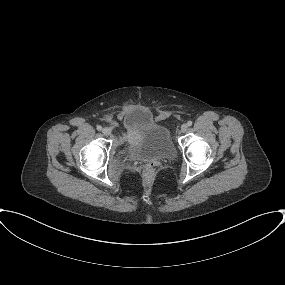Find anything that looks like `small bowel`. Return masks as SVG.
I'll list each match as a JSON object with an SVG mask.
<instances>
[{
	"mask_svg": "<svg viewBox=\"0 0 285 285\" xmlns=\"http://www.w3.org/2000/svg\"><path fill=\"white\" fill-rule=\"evenodd\" d=\"M129 110H130L129 107L124 108V109L120 112L119 117H120V118H123V117L129 112Z\"/></svg>",
	"mask_w": 285,
	"mask_h": 285,
	"instance_id": "obj_1",
	"label": "small bowel"
}]
</instances>
